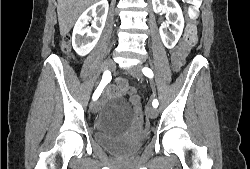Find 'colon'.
I'll return each mask as SVG.
<instances>
[{"label": "colon", "instance_id": "5ec220e1", "mask_svg": "<svg viewBox=\"0 0 250 169\" xmlns=\"http://www.w3.org/2000/svg\"><path fill=\"white\" fill-rule=\"evenodd\" d=\"M184 15H189L188 18L186 19V22L188 25H197V20H195L194 14H191V10H189V5H184ZM197 39L196 35V28L194 26H190L187 31H186V41L188 43H194ZM71 35L70 34H63L62 39L60 40V49L64 53H69L71 50ZM170 69H172V72H180L181 68L180 65L176 61H172V64H170ZM127 95H133L131 97V102H134V120L135 124L138 128L143 127V120H144V115L143 112L141 111V97L139 95L135 94L134 90H127L125 92Z\"/></svg>", "mask_w": 250, "mask_h": 169}]
</instances>
